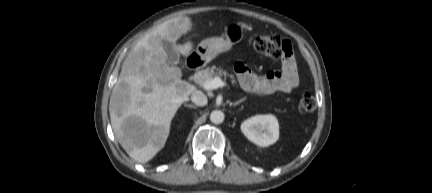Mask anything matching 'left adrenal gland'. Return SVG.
Returning a JSON list of instances; mask_svg holds the SVG:
<instances>
[{"instance_id": "1", "label": "left adrenal gland", "mask_w": 432, "mask_h": 193, "mask_svg": "<svg viewBox=\"0 0 432 193\" xmlns=\"http://www.w3.org/2000/svg\"><path fill=\"white\" fill-rule=\"evenodd\" d=\"M244 100H246V98H242V99H240V100L234 102L232 105H233V106H236V105L240 104L241 102H243Z\"/></svg>"}]
</instances>
